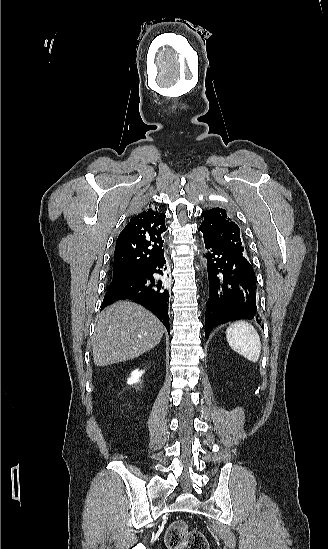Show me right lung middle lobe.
I'll list each match as a JSON object with an SVG mask.
<instances>
[{"label":"right lung middle lobe","mask_w":328,"mask_h":549,"mask_svg":"<svg viewBox=\"0 0 328 549\" xmlns=\"http://www.w3.org/2000/svg\"><path fill=\"white\" fill-rule=\"evenodd\" d=\"M139 274H128V275H121V276H113L112 282L110 283L109 287H113L115 285H118L124 281H127L129 279L137 277Z\"/></svg>","instance_id":"dd1d6c3e"}]
</instances>
